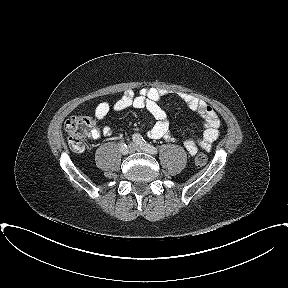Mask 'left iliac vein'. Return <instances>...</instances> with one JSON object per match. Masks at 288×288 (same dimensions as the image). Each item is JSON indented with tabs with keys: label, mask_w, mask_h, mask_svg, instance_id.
<instances>
[{
	"label": "left iliac vein",
	"mask_w": 288,
	"mask_h": 288,
	"mask_svg": "<svg viewBox=\"0 0 288 288\" xmlns=\"http://www.w3.org/2000/svg\"><path fill=\"white\" fill-rule=\"evenodd\" d=\"M134 146L135 151H142V148L137 146L136 144H132Z\"/></svg>",
	"instance_id": "obj_1"
}]
</instances>
